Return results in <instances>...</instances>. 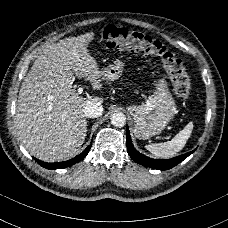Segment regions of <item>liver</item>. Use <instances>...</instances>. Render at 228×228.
Here are the masks:
<instances>
[{
	"mask_svg": "<svg viewBox=\"0 0 228 228\" xmlns=\"http://www.w3.org/2000/svg\"><path fill=\"white\" fill-rule=\"evenodd\" d=\"M95 32L50 44L37 57L22 81L16 122L24 147L44 161H61L76 154L87 134L84 106L101 98L77 93L72 70L90 82L94 91L104 88L97 60L88 46Z\"/></svg>",
	"mask_w": 228,
	"mask_h": 228,
	"instance_id": "liver-1",
	"label": "liver"
}]
</instances>
